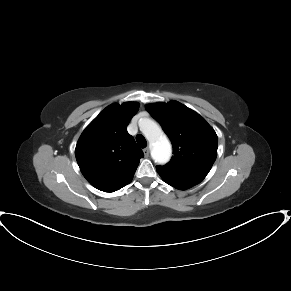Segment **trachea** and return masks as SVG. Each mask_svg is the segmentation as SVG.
<instances>
[{"instance_id": "trachea-1", "label": "trachea", "mask_w": 291, "mask_h": 291, "mask_svg": "<svg viewBox=\"0 0 291 291\" xmlns=\"http://www.w3.org/2000/svg\"><path fill=\"white\" fill-rule=\"evenodd\" d=\"M136 141L138 143V145L141 147V148H145L147 146V142H146V139L144 138L143 135L141 134H138L136 136Z\"/></svg>"}]
</instances>
